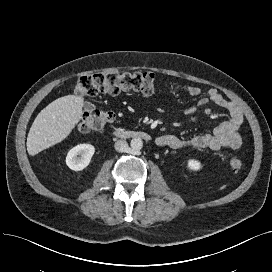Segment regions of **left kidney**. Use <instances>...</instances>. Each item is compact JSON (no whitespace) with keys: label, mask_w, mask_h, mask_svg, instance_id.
Instances as JSON below:
<instances>
[{"label":"left kidney","mask_w":272,"mask_h":272,"mask_svg":"<svg viewBox=\"0 0 272 272\" xmlns=\"http://www.w3.org/2000/svg\"><path fill=\"white\" fill-rule=\"evenodd\" d=\"M187 166L190 170H193V171H198L202 168L200 161L196 159H189L187 162Z\"/></svg>","instance_id":"left-kidney-1"}]
</instances>
